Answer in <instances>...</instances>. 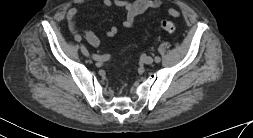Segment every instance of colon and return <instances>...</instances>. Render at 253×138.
<instances>
[{
	"mask_svg": "<svg viewBox=\"0 0 253 138\" xmlns=\"http://www.w3.org/2000/svg\"><path fill=\"white\" fill-rule=\"evenodd\" d=\"M160 27L163 31L168 34H174L176 32V26L172 21L162 20L160 23Z\"/></svg>",
	"mask_w": 253,
	"mask_h": 138,
	"instance_id": "5ec220e1",
	"label": "colon"
}]
</instances>
